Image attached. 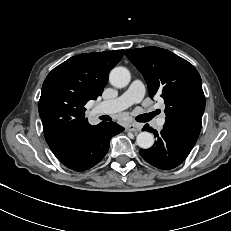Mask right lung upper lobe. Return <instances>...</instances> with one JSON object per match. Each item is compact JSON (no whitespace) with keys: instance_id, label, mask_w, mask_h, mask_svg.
Wrapping results in <instances>:
<instances>
[{"instance_id":"1","label":"right lung upper lobe","mask_w":231,"mask_h":231,"mask_svg":"<svg viewBox=\"0 0 231 231\" xmlns=\"http://www.w3.org/2000/svg\"><path fill=\"white\" fill-rule=\"evenodd\" d=\"M123 50L74 56L46 77L39 100V114L47 144L58 155L79 133L90 128L84 105L103 92L110 70Z\"/></svg>"}]
</instances>
